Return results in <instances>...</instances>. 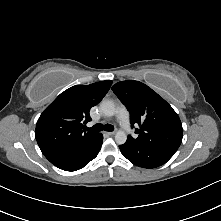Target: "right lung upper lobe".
I'll use <instances>...</instances> for the list:
<instances>
[{"instance_id":"1","label":"right lung upper lobe","mask_w":221,"mask_h":221,"mask_svg":"<svg viewBox=\"0 0 221 221\" xmlns=\"http://www.w3.org/2000/svg\"><path fill=\"white\" fill-rule=\"evenodd\" d=\"M112 81L75 85L62 92L40 115L35 130L44 156L56 167L68 164L75 154L93 142L100 133L85 132L90 108L108 92Z\"/></svg>"}]
</instances>
